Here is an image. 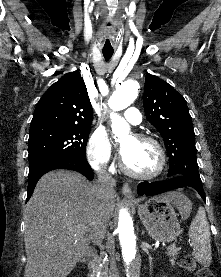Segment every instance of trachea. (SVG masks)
<instances>
[{"mask_svg":"<svg viewBox=\"0 0 221 277\" xmlns=\"http://www.w3.org/2000/svg\"><path fill=\"white\" fill-rule=\"evenodd\" d=\"M114 51H102L106 61L110 60Z\"/></svg>","mask_w":221,"mask_h":277,"instance_id":"1","label":"trachea"}]
</instances>
